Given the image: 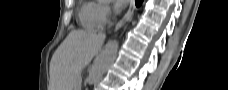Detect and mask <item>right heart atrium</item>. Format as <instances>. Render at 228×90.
<instances>
[{
	"label": "right heart atrium",
	"mask_w": 228,
	"mask_h": 90,
	"mask_svg": "<svg viewBox=\"0 0 228 90\" xmlns=\"http://www.w3.org/2000/svg\"><path fill=\"white\" fill-rule=\"evenodd\" d=\"M111 16V7L105 0H100L96 4V17L98 22L103 25L108 22Z\"/></svg>",
	"instance_id": "d8ad5b80"
}]
</instances>
